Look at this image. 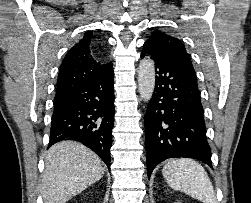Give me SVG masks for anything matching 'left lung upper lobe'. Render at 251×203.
Returning a JSON list of instances; mask_svg holds the SVG:
<instances>
[{"mask_svg":"<svg viewBox=\"0 0 251 203\" xmlns=\"http://www.w3.org/2000/svg\"><path fill=\"white\" fill-rule=\"evenodd\" d=\"M145 43L152 45L156 49L168 55L180 59L192 70H194L190 56L186 52L183 43L179 39L159 31H154Z\"/></svg>","mask_w":251,"mask_h":203,"instance_id":"1","label":"left lung upper lobe"}]
</instances>
